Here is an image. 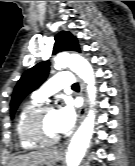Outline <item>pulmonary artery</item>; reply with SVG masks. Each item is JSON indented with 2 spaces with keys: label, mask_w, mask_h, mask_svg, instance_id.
Segmentation results:
<instances>
[{
  "label": "pulmonary artery",
  "mask_w": 135,
  "mask_h": 166,
  "mask_svg": "<svg viewBox=\"0 0 135 166\" xmlns=\"http://www.w3.org/2000/svg\"><path fill=\"white\" fill-rule=\"evenodd\" d=\"M73 84L74 79L70 71H59L35 91L34 98L43 101L54 92L62 88L72 87Z\"/></svg>",
  "instance_id": "obj_1"
}]
</instances>
